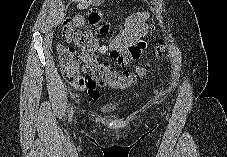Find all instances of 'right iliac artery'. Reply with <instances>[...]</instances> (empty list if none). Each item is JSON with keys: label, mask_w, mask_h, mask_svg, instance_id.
<instances>
[{"label": "right iliac artery", "mask_w": 227, "mask_h": 157, "mask_svg": "<svg viewBox=\"0 0 227 157\" xmlns=\"http://www.w3.org/2000/svg\"><path fill=\"white\" fill-rule=\"evenodd\" d=\"M72 116H73V107H71V109H70L69 120L72 119Z\"/></svg>", "instance_id": "obj_1"}]
</instances>
